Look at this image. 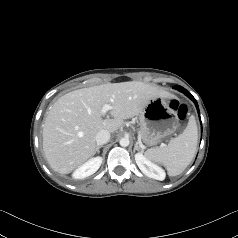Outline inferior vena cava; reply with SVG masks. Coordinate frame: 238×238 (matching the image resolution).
Returning a JSON list of instances; mask_svg holds the SVG:
<instances>
[{"label": "inferior vena cava", "mask_w": 238, "mask_h": 238, "mask_svg": "<svg viewBox=\"0 0 238 238\" xmlns=\"http://www.w3.org/2000/svg\"><path fill=\"white\" fill-rule=\"evenodd\" d=\"M110 139V132L108 130H100L95 137L96 143L98 145H103L107 143Z\"/></svg>", "instance_id": "obj_1"}]
</instances>
